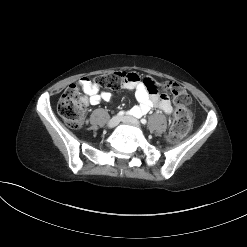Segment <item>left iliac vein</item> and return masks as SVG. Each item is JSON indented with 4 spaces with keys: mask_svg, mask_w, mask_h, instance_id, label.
I'll use <instances>...</instances> for the list:
<instances>
[{
    "mask_svg": "<svg viewBox=\"0 0 247 247\" xmlns=\"http://www.w3.org/2000/svg\"><path fill=\"white\" fill-rule=\"evenodd\" d=\"M121 121H123L124 123H130L133 124L135 126H139V122L136 118H134L133 116H123L121 117Z\"/></svg>",
    "mask_w": 247,
    "mask_h": 247,
    "instance_id": "left-iliac-vein-1",
    "label": "left iliac vein"
}]
</instances>
